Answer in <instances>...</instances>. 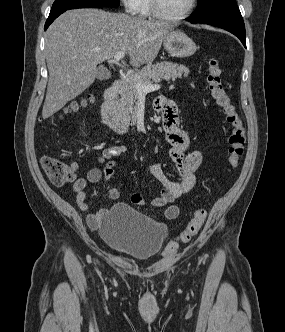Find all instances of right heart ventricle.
<instances>
[{
  "mask_svg": "<svg viewBox=\"0 0 285 332\" xmlns=\"http://www.w3.org/2000/svg\"><path fill=\"white\" fill-rule=\"evenodd\" d=\"M139 16L142 18L153 17L151 0H142L140 5V10L138 12Z\"/></svg>",
  "mask_w": 285,
  "mask_h": 332,
  "instance_id": "1",
  "label": "right heart ventricle"
}]
</instances>
